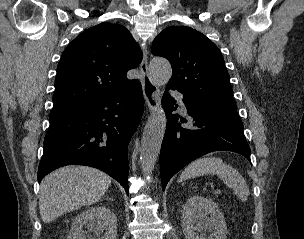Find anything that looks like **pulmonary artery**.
Returning a JSON list of instances; mask_svg holds the SVG:
<instances>
[{"instance_id": "obj_1", "label": "pulmonary artery", "mask_w": 304, "mask_h": 239, "mask_svg": "<svg viewBox=\"0 0 304 239\" xmlns=\"http://www.w3.org/2000/svg\"><path fill=\"white\" fill-rule=\"evenodd\" d=\"M171 93H172V95H174L177 98V100H178V102L180 104L181 110L184 113H186L187 109H186V106H185V103H184V100H183V95L181 93L175 92V91H172Z\"/></svg>"}]
</instances>
